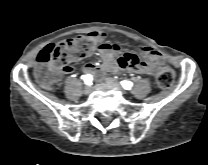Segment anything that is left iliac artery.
I'll return each instance as SVG.
<instances>
[{
	"label": "left iliac artery",
	"mask_w": 208,
	"mask_h": 165,
	"mask_svg": "<svg viewBox=\"0 0 208 165\" xmlns=\"http://www.w3.org/2000/svg\"><path fill=\"white\" fill-rule=\"evenodd\" d=\"M121 85L124 89L129 90L133 84H132V82L125 80V81L121 82Z\"/></svg>",
	"instance_id": "obj_1"
}]
</instances>
